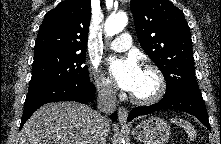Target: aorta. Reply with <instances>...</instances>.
<instances>
[{
  "label": "aorta",
  "instance_id": "762f6f07",
  "mask_svg": "<svg viewBox=\"0 0 221 144\" xmlns=\"http://www.w3.org/2000/svg\"><path fill=\"white\" fill-rule=\"evenodd\" d=\"M128 17L126 13L119 12L117 14H113L107 18L104 26V32L106 36H114L120 33L127 25Z\"/></svg>",
  "mask_w": 221,
  "mask_h": 144
}]
</instances>
